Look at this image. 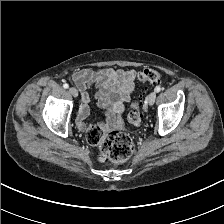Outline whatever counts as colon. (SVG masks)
<instances>
[{"mask_svg":"<svg viewBox=\"0 0 224 224\" xmlns=\"http://www.w3.org/2000/svg\"><path fill=\"white\" fill-rule=\"evenodd\" d=\"M163 79V74L154 69H145L138 74L140 86L157 84ZM142 96L137 94L128 115V123L138 126L142 121ZM86 139L89 144L98 146L97 160L101 163L121 164L133 154L135 145L133 139L124 133L112 131L106 133L102 127L91 125L87 129Z\"/></svg>","mask_w":224,"mask_h":224,"instance_id":"colon-1","label":"colon"}]
</instances>
